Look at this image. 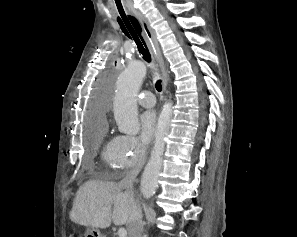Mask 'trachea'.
Returning a JSON list of instances; mask_svg holds the SVG:
<instances>
[{"mask_svg":"<svg viewBox=\"0 0 297 237\" xmlns=\"http://www.w3.org/2000/svg\"><path fill=\"white\" fill-rule=\"evenodd\" d=\"M123 33L129 37L130 39H133L137 45L138 51L140 54H142V57L145 61L148 63L151 62V55L149 53V50L146 46V43L142 36V28L138 22V20L135 17H129L123 20L118 21ZM156 90L158 92H161L162 90V84L161 80L158 79L155 83Z\"/></svg>","mask_w":297,"mask_h":237,"instance_id":"obj_1","label":"trachea"}]
</instances>
